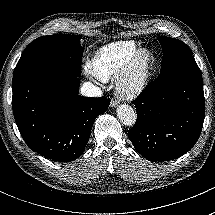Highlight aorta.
I'll use <instances>...</instances> for the list:
<instances>
[{"label": "aorta", "mask_w": 215, "mask_h": 215, "mask_svg": "<svg viewBox=\"0 0 215 215\" xmlns=\"http://www.w3.org/2000/svg\"><path fill=\"white\" fill-rule=\"evenodd\" d=\"M120 122L126 127H132L136 124L137 114L130 106L122 105L117 112Z\"/></svg>", "instance_id": "762f6f07"}]
</instances>
